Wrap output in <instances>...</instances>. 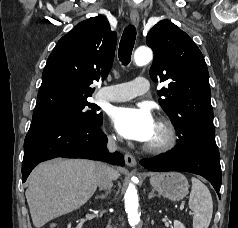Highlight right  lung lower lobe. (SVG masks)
Listing matches in <instances>:
<instances>
[{
  "instance_id": "right-lung-lower-lobe-1",
  "label": "right lung lower lobe",
  "mask_w": 238,
  "mask_h": 228,
  "mask_svg": "<svg viewBox=\"0 0 238 228\" xmlns=\"http://www.w3.org/2000/svg\"><path fill=\"white\" fill-rule=\"evenodd\" d=\"M102 121L88 125L68 120H32L24 141L22 182L42 161L55 157L86 158L124 165L119 152L108 154Z\"/></svg>"
}]
</instances>
